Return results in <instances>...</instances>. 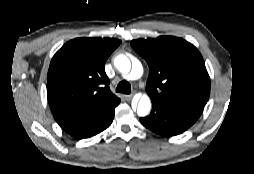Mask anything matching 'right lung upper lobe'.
<instances>
[{"label": "right lung upper lobe", "instance_id": "cb5924a9", "mask_svg": "<svg viewBox=\"0 0 254 174\" xmlns=\"http://www.w3.org/2000/svg\"><path fill=\"white\" fill-rule=\"evenodd\" d=\"M120 43L110 38H77L53 56L47 75V97L59 125L93 108L120 103L110 91L104 70L107 58Z\"/></svg>", "mask_w": 254, "mask_h": 174}]
</instances>
